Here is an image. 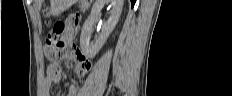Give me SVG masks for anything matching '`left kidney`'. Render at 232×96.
<instances>
[{
    "instance_id": "left-kidney-1",
    "label": "left kidney",
    "mask_w": 232,
    "mask_h": 96,
    "mask_svg": "<svg viewBox=\"0 0 232 96\" xmlns=\"http://www.w3.org/2000/svg\"><path fill=\"white\" fill-rule=\"evenodd\" d=\"M124 0H96L89 17L85 20L81 36L80 46L87 58H93L105 44L107 38L115 28L121 15ZM110 3L113 7L111 15L102 26V31L95 41H90L94 24L98 21L100 11L105 4Z\"/></svg>"
}]
</instances>
